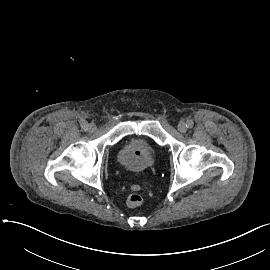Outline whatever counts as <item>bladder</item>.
<instances>
[{"mask_svg":"<svg viewBox=\"0 0 270 270\" xmlns=\"http://www.w3.org/2000/svg\"><path fill=\"white\" fill-rule=\"evenodd\" d=\"M155 153L152 139L147 136L131 138L125 141L118 160L126 170L139 173L148 168Z\"/></svg>","mask_w":270,"mask_h":270,"instance_id":"obj_1","label":"bladder"}]
</instances>
